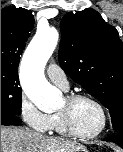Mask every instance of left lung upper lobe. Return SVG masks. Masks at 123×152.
Masks as SVG:
<instances>
[{"mask_svg":"<svg viewBox=\"0 0 123 152\" xmlns=\"http://www.w3.org/2000/svg\"><path fill=\"white\" fill-rule=\"evenodd\" d=\"M61 68L110 112L123 135V42L93 9L67 13L61 21Z\"/></svg>","mask_w":123,"mask_h":152,"instance_id":"obj_1","label":"left lung upper lobe"}]
</instances>
